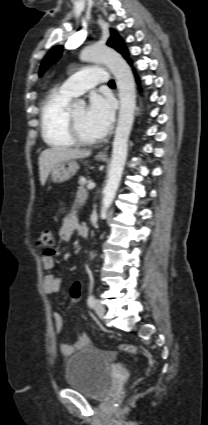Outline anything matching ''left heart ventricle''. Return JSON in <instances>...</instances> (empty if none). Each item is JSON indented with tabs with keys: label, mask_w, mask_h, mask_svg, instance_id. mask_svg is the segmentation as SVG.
<instances>
[{
	"label": "left heart ventricle",
	"mask_w": 208,
	"mask_h": 425,
	"mask_svg": "<svg viewBox=\"0 0 208 425\" xmlns=\"http://www.w3.org/2000/svg\"><path fill=\"white\" fill-rule=\"evenodd\" d=\"M72 112L81 134L86 139H98V136L91 130V128L88 126L86 122L85 108L73 109Z\"/></svg>",
	"instance_id": "b2bd125f"
}]
</instances>
